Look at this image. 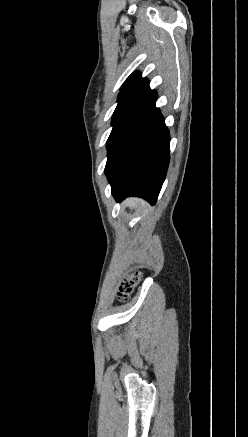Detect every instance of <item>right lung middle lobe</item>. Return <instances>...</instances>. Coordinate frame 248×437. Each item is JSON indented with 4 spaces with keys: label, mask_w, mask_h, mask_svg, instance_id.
<instances>
[{
    "label": "right lung middle lobe",
    "mask_w": 248,
    "mask_h": 437,
    "mask_svg": "<svg viewBox=\"0 0 248 437\" xmlns=\"http://www.w3.org/2000/svg\"><path fill=\"white\" fill-rule=\"evenodd\" d=\"M138 97H139V95L133 94L130 96L118 98V105H117V107L113 113V116H112L113 129H112L111 134L108 138L107 147L109 146V144L113 140L114 136L116 135V133L120 129L126 115L130 111V109L132 108V106L134 105V103L136 102Z\"/></svg>",
    "instance_id": "right-lung-middle-lobe-1"
}]
</instances>
